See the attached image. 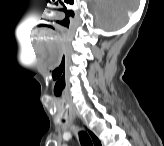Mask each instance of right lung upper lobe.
<instances>
[{"label":"right lung upper lobe","mask_w":164,"mask_h":146,"mask_svg":"<svg viewBox=\"0 0 164 146\" xmlns=\"http://www.w3.org/2000/svg\"><path fill=\"white\" fill-rule=\"evenodd\" d=\"M90 135L92 137V140L94 142V145L95 146H99L100 145V141L98 140V138L92 132H90Z\"/></svg>","instance_id":"right-lung-upper-lobe-1"}]
</instances>
